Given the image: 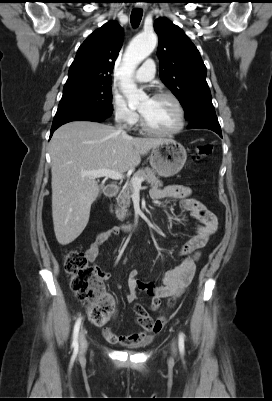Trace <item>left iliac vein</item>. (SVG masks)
<instances>
[{
  "label": "left iliac vein",
  "mask_w": 272,
  "mask_h": 401,
  "mask_svg": "<svg viewBox=\"0 0 272 401\" xmlns=\"http://www.w3.org/2000/svg\"><path fill=\"white\" fill-rule=\"evenodd\" d=\"M172 349H173V352H175V344H173Z\"/></svg>",
  "instance_id": "4c4485c4"
}]
</instances>
